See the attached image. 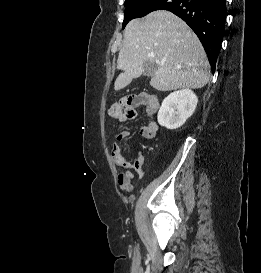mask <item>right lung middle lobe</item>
<instances>
[{
	"instance_id": "dd1d6c3e",
	"label": "right lung middle lobe",
	"mask_w": 261,
	"mask_h": 273,
	"mask_svg": "<svg viewBox=\"0 0 261 273\" xmlns=\"http://www.w3.org/2000/svg\"><path fill=\"white\" fill-rule=\"evenodd\" d=\"M150 1L152 0H126L124 4L126 6V9L124 11L125 17H124L122 27L124 28L126 24L134 18L143 17L144 15L139 9V7L141 4H144Z\"/></svg>"
}]
</instances>
